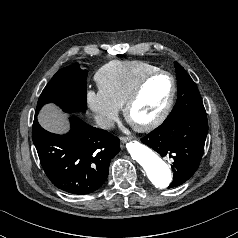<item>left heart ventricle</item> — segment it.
<instances>
[{"instance_id": "1", "label": "left heart ventricle", "mask_w": 238, "mask_h": 238, "mask_svg": "<svg viewBox=\"0 0 238 238\" xmlns=\"http://www.w3.org/2000/svg\"><path fill=\"white\" fill-rule=\"evenodd\" d=\"M171 91L170 80L158 76L150 80L130 112L135 124H145L153 120L165 106Z\"/></svg>"}]
</instances>
